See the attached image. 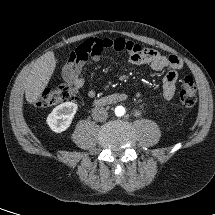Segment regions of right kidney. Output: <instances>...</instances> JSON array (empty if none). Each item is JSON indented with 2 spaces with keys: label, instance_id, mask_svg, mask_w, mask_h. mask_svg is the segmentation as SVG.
<instances>
[{
  "label": "right kidney",
  "instance_id": "1",
  "mask_svg": "<svg viewBox=\"0 0 215 215\" xmlns=\"http://www.w3.org/2000/svg\"><path fill=\"white\" fill-rule=\"evenodd\" d=\"M78 109L77 104L66 102L58 105L47 117V124L55 133H61L67 130Z\"/></svg>",
  "mask_w": 215,
  "mask_h": 215
}]
</instances>
